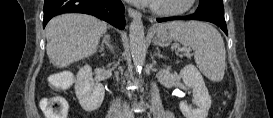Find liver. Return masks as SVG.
Listing matches in <instances>:
<instances>
[{
    "label": "liver",
    "mask_w": 273,
    "mask_h": 118,
    "mask_svg": "<svg viewBox=\"0 0 273 118\" xmlns=\"http://www.w3.org/2000/svg\"><path fill=\"white\" fill-rule=\"evenodd\" d=\"M107 24L86 14H63L52 18L46 26L49 60L58 68H64L97 50Z\"/></svg>",
    "instance_id": "obj_1"
}]
</instances>
